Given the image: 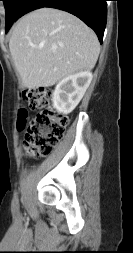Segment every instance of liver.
I'll return each instance as SVG.
<instances>
[{
    "instance_id": "obj_1",
    "label": "liver",
    "mask_w": 133,
    "mask_h": 253,
    "mask_svg": "<svg viewBox=\"0 0 133 253\" xmlns=\"http://www.w3.org/2000/svg\"><path fill=\"white\" fill-rule=\"evenodd\" d=\"M9 49L22 84L33 89L93 69L100 44L94 31L74 15L41 8L18 20Z\"/></svg>"
}]
</instances>
